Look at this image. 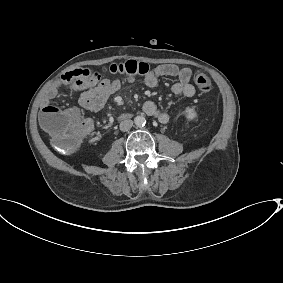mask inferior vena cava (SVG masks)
Segmentation results:
<instances>
[{"instance_id": "inferior-vena-cava-1", "label": "inferior vena cava", "mask_w": 283, "mask_h": 283, "mask_svg": "<svg viewBox=\"0 0 283 283\" xmlns=\"http://www.w3.org/2000/svg\"><path fill=\"white\" fill-rule=\"evenodd\" d=\"M133 126L132 120H124L120 123V130L126 132Z\"/></svg>"}]
</instances>
